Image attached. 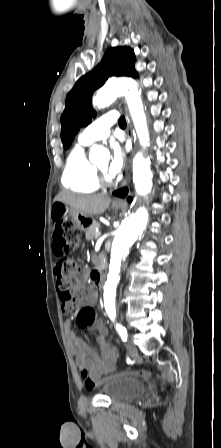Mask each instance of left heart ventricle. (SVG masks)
<instances>
[{"label":"left heart ventricle","mask_w":221,"mask_h":448,"mask_svg":"<svg viewBox=\"0 0 221 448\" xmlns=\"http://www.w3.org/2000/svg\"><path fill=\"white\" fill-rule=\"evenodd\" d=\"M98 167H99L101 170H103V171L105 172L106 167H107V162L104 161V162L100 163V164L98 165Z\"/></svg>","instance_id":"1"}]
</instances>
